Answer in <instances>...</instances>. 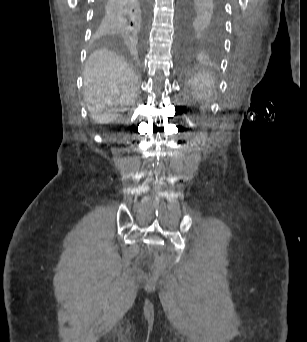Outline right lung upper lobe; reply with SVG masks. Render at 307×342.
Returning a JSON list of instances; mask_svg holds the SVG:
<instances>
[{
    "label": "right lung upper lobe",
    "mask_w": 307,
    "mask_h": 342,
    "mask_svg": "<svg viewBox=\"0 0 307 342\" xmlns=\"http://www.w3.org/2000/svg\"><path fill=\"white\" fill-rule=\"evenodd\" d=\"M99 33L110 39H135L148 18V0H98Z\"/></svg>",
    "instance_id": "1"
}]
</instances>
